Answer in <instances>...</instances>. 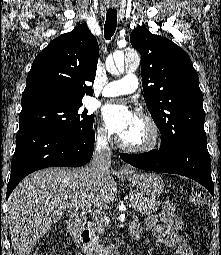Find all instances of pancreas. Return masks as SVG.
Wrapping results in <instances>:
<instances>
[{"label":"pancreas","instance_id":"pancreas-1","mask_svg":"<svg viewBox=\"0 0 221 255\" xmlns=\"http://www.w3.org/2000/svg\"><path fill=\"white\" fill-rule=\"evenodd\" d=\"M129 196L131 203L135 204L134 209L143 215H149L155 212L160 205V202L156 199H149L137 191H130ZM93 224L97 225L99 221H94Z\"/></svg>","mask_w":221,"mask_h":255}]
</instances>
